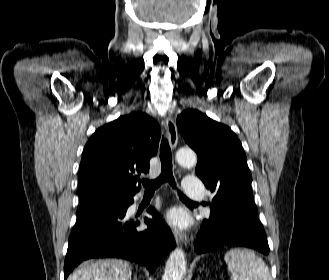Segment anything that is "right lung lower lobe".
Returning a JSON list of instances; mask_svg holds the SVG:
<instances>
[{"label": "right lung lower lobe", "instance_id": "obj_1", "mask_svg": "<svg viewBox=\"0 0 329 280\" xmlns=\"http://www.w3.org/2000/svg\"><path fill=\"white\" fill-rule=\"evenodd\" d=\"M133 196L116 197L79 213L69 237L64 263V280L82 261L117 257L145 265L154 272L165 255L175 247L171 231L149 208L153 219L145 218L148 229L137 231V219L126 216Z\"/></svg>", "mask_w": 329, "mask_h": 280}]
</instances>
